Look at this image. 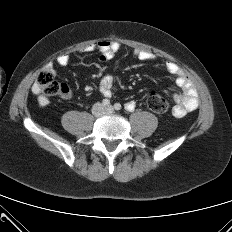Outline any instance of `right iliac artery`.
I'll return each instance as SVG.
<instances>
[{"instance_id":"1","label":"right iliac artery","mask_w":232,"mask_h":232,"mask_svg":"<svg viewBox=\"0 0 232 232\" xmlns=\"http://www.w3.org/2000/svg\"><path fill=\"white\" fill-rule=\"evenodd\" d=\"M102 104H103V106H109L110 105V100L103 99Z\"/></svg>"}]
</instances>
